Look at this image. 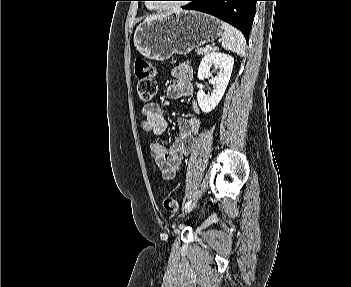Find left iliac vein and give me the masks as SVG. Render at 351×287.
Instances as JSON below:
<instances>
[{
    "label": "left iliac vein",
    "instance_id": "obj_1",
    "mask_svg": "<svg viewBox=\"0 0 351 287\" xmlns=\"http://www.w3.org/2000/svg\"><path fill=\"white\" fill-rule=\"evenodd\" d=\"M196 203V201L191 203L190 206L185 209V212L182 213L181 217H184L187 213H189L195 207Z\"/></svg>",
    "mask_w": 351,
    "mask_h": 287
}]
</instances>
